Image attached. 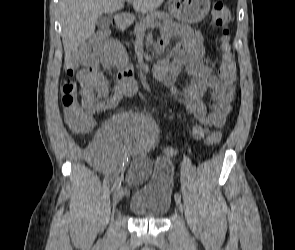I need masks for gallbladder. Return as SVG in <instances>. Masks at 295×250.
<instances>
[{"mask_svg":"<svg viewBox=\"0 0 295 250\" xmlns=\"http://www.w3.org/2000/svg\"><path fill=\"white\" fill-rule=\"evenodd\" d=\"M110 23H111L110 14H102L97 20V26L102 29L108 28Z\"/></svg>","mask_w":295,"mask_h":250,"instance_id":"bac80fb5","label":"gallbladder"}]
</instances>
